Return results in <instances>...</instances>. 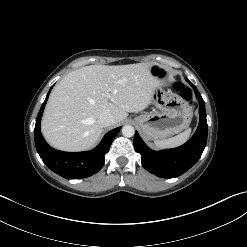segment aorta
Masks as SVG:
<instances>
[{
  "label": "aorta",
  "mask_w": 247,
  "mask_h": 247,
  "mask_svg": "<svg viewBox=\"0 0 247 247\" xmlns=\"http://www.w3.org/2000/svg\"><path fill=\"white\" fill-rule=\"evenodd\" d=\"M122 134L125 137H132L135 134L134 127L131 125H125L122 127Z\"/></svg>",
  "instance_id": "obj_1"
}]
</instances>
